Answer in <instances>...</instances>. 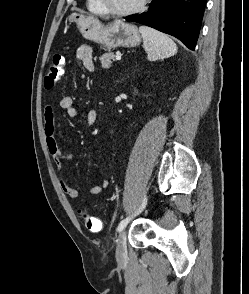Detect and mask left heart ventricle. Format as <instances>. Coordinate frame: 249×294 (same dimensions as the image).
I'll return each mask as SVG.
<instances>
[{
	"instance_id": "1",
	"label": "left heart ventricle",
	"mask_w": 249,
	"mask_h": 294,
	"mask_svg": "<svg viewBox=\"0 0 249 294\" xmlns=\"http://www.w3.org/2000/svg\"><path fill=\"white\" fill-rule=\"evenodd\" d=\"M108 7L114 10H126L134 7L140 0H104Z\"/></svg>"
}]
</instances>
